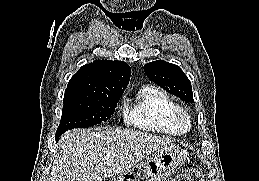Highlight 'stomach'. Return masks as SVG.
I'll list each match as a JSON object with an SVG mask.
<instances>
[{"label": "stomach", "instance_id": "1", "mask_svg": "<svg viewBox=\"0 0 259 181\" xmlns=\"http://www.w3.org/2000/svg\"><path fill=\"white\" fill-rule=\"evenodd\" d=\"M185 155L179 146L156 151L145 163H139L112 181H163L183 164Z\"/></svg>", "mask_w": 259, "mask_h": 181}]
</instances>
